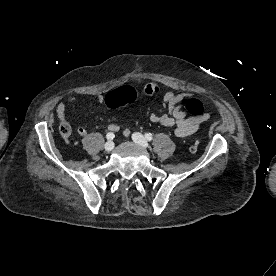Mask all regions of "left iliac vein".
<instances>
[{
	"label": "left iliac vein",
	"instance_id": "1",
	"mask_svg": "<svg viewBox=\"0 0 276 276\" xmlns=\"http://www.w3.org/2000/svg\"><path fill=\"white\" fill-rule=\"evenodd\" d=\"M132 139L135 143L141 145L142 147H144V148L148 147V142L141 133H139V132L133 133Z\"/></svg>",
	"mask_w": 276,
	"mask_h": 276
}]
</instances>
